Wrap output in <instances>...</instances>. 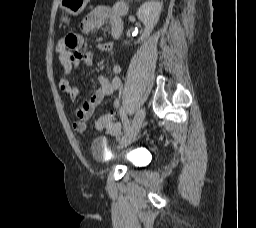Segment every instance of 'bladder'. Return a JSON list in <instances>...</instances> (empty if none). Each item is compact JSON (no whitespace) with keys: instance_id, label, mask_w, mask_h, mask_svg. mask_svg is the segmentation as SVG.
<instances>
[{"instance_id":"obj_1","label":"bladder","mask_w":256,"mask_h":228,"mask_svg":"<svg viewBox=\"0 0 256 228\" xmlns=\"http://www.w3.org/2000/svg\"><path fill=\"white\" fill-rule=\"evenodd\" d=\"M90 149L91 153L97 157H110L113 154L112 150L107 146L105 140L101 137L93 139ZM124 159L125 162L130 166H139L142 163L143 155L141 151L134 150L126 153L124 155Z\"/></svg>"}]
</instances>
